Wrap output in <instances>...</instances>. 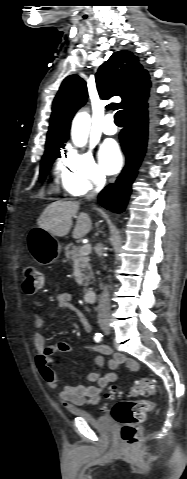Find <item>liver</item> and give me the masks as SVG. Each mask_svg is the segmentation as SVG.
<instances>
[{"mask_svg": "<svg viewBox=\"0 0 187 479\" xmlns=\"http://www.w3.org/2000/svg\"><path fill=\"white\" fill-rule=\"evenodd\" d=\"M78 201H56L49 204L37 220L39 228L53 236H66L72 228V217L78 212ZM92 222L88 214L82 212L77 217L72 233L74 239L84 237L91 230Z\"/></svg>", "mask_w": 187, "mask_h": 479, "instance_id": "6515ba94", "label": "liver"}]
</instances>
